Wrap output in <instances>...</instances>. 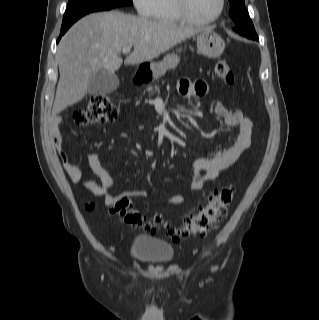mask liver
I'll return each instance as SVG.
<instances>
[{"label": "liver", "instance_id": "1", "mask_svg": "<svg viewBox=\"0 0 319 320\" xmlns=\"http://www.w3.org/2000/svg\"><path fill=\"white\" fill-rule=\"evenodd\" d=\"M200 31L203 30L116 11L83 17L58 45L60 79L52 114L81 101L88 92L90 78L98 71L115 73L123 63L124 47H134L124 64L135 65L159 57Z\"/></svg>", "mask_w": 319, "mask_h": 320}]
</instances>
